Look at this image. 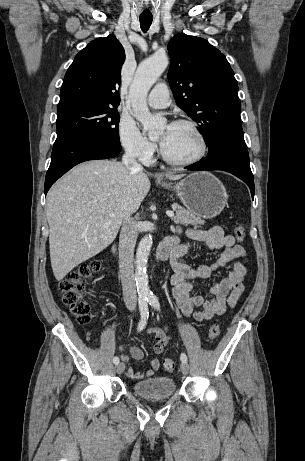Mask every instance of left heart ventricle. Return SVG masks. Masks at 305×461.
Returning <instances> with one entry per match:
<instances>
[{"label":"left heart ventricle","instance_id":"left-heart-ventricle-1","mask_svg":"<svg viewBox=\"0 0 305 461\" xmlns=\"http://www.w3.org/2000/svg\"><path fill=\"white\" fill-rule=\"evenodd\" d=\"M163 149L171 158L186 160L193 158L200 149L197 136L187 126L164 127L159 134Z\"/></svg>","mask_w":305,"mask_h":461}]
</instances>
